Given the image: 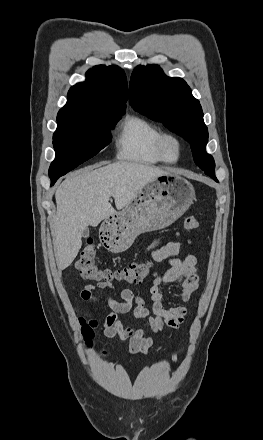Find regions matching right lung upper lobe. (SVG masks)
<instances>
[{
  "label": "right lung upper lobe",
  "mask_w": 263,
  "mask_h": 440,
  "mask_svg": "<svg viewBox=\"0 0 263 440\" xmlns=\"http://www.w3.org/2000/svg\"><path fill=\"white\" fill-rule=\"evenodd\" d=\"M128 99L124 71L117 66L97 65L86 73V81L71 87L57 121H78L96 114H124Z\"/></svg>",
  "instance_id": "obj_1"
}]
</instances>
